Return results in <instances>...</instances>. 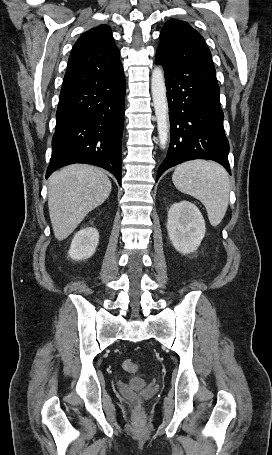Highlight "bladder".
Segmentation results:
<instances>
[{
	"instance_id": "31cf9c89",
	"label": "bladder",
	"mask_w": 272,
	"mask_h": 455,
	"mask_svg": "<svg viewBox=\"0 0 272 455\" xmlns=\"http://www.w3.org/2000/svg\"><path fill=\"white\" fill-rule=\"evenodd\" d=\"M146 385V381L142 377H134L131 380V386L134 388H142Z\"/></svg>"
}]
</instances>
